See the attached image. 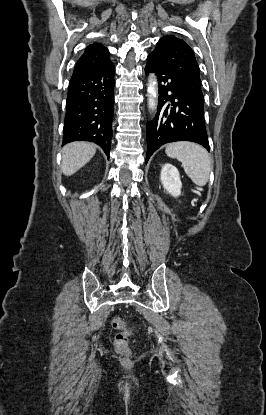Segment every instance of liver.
<instances>
[{"mask_svg": "<svg viewBox=\"0 0 266 415\" xmlns=\"http://www.w3.org/2000/svg\"><path fill=\"white\" fill-rule=\"evenodd\" d=\"M96 147L92 143L72 142L64 146L62 150V172L65 176H71L95 155Z\"/></svg>", "mask_w": 266, "mask_h": 415, "instance_id": "obj_1", "label": "liver"}]
</instances>
